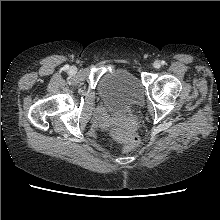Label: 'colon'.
Segmentation results:
<instances>
[{"label": "colon", "mask_w": 220, "mask_h": 220, "mask_svg": "<svg viewBox=\"0 0 220 220\" xmlns=\"http://www.w3.org/2000/svg\"><path fill=\"white\" fill-rule=\"evenodd\" d=\"M112 136L123 144V149L126 152L131 151L138 144L137 137L119 123L114 124L112 128Z\"/></svg>", "instance_id": "5ec220e1"}]
</instances>
